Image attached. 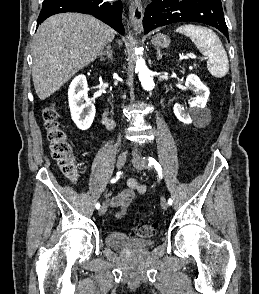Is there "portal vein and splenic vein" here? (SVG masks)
<instances>
[{
	"instance_id": "portal-vein-and-splenic-vein-1",
	"label": "portal vein and splenic vein",
	"mask_w": 259,
	"mask_h": 294,
	"mask_svg": "<svg viewBox=\"0 0 259 294\" xmlns=\"http://www.w3.org/2000/svg\"><path fill=\"white\" fill-rule=\"evenodd\" d=\"M186 58L195 59L196 56L193 53L187 54Z\"/></svg>"
}]
</instances>
